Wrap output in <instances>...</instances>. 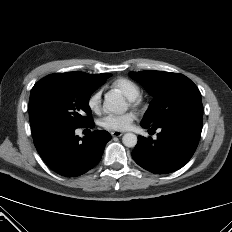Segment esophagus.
Instances as JSON below:
<instances>
[{"label": "esophagus", "instance_id": "1", "mask_svg": "<svg viewBox=\"0 0 232 232\" xmlns=\"http://www.w3.org/2000/svg\"><path fill=\"white\" fill-rule=\"evenodd\" d=\"M122 135H123V133L120 132V131H111V136L112 137H120Z\"/></svg>", "mask_w": 232, "mask_h": 232}]
</instances>
